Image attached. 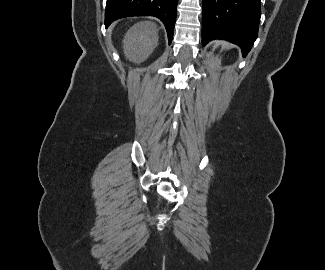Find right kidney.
<instances>
[{
	"label": "right kidney",
	"instance_id": "ca27d5eb",
	"mask_svg": "<svg viewBox=\"0 0 325 270\" xmlns=\"http://www.w3.org/2000/svg\"><path fill=\"white\" fill-rule=\"evenodd\" d=\"M123 43L126 58L134 63H141L156 48L158 29L151 22L137 23L128 30Z\"/></svg>",
	"mask_w": 325,
	"mask_h": 270
}]
</instances>
